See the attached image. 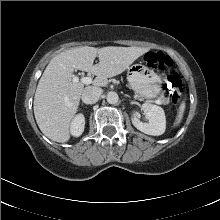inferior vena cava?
Wrapping results in <instances>:
<instances>
[{
	"label": "inferior vena cava",
	"instance_id": "602c4592",
	"mask_svg": "<svg viewBox=\"0 0 220 220\" xmlns=\"http://www.w3.org/2000/svg\"><path fill=\"white\" fill-rule=\"evenodd\" d=\"M102 94V89L99 87L88 86L82 93V101L86 104L96 103Z\"/></svg>",
	"mask_w": 220,
	"mask_h": 220
}]
</instances>
